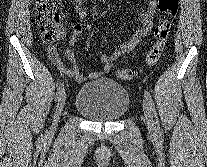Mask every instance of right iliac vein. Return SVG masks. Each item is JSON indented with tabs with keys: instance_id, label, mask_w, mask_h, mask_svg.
I'll return each instance as SVG.
<instances>
[{
	"instance_id": "63e3f726",
	"label": "right iliac vein",
	"mask_w": 207,
	"mask_h": 167,
	"mask_svg": "<svg viewBox=\"0 0 207 167\" xmlns=\"http://www.w3.org/2000/svg\"><path fill=\"white\" fill-rule=\"evenodd\" d=\"M65 101H66V93L63 92L62 95L60 96V98L58 99V103H57V106H56V111H55L54 116H53V122H52V126H51L52 131L56 130V128H57L62 110H63L64 105H65Z\"/></svg>"
}]
</instances>
